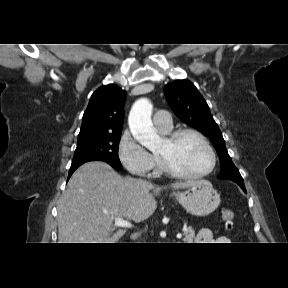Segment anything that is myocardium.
I'll list each match as a JSON object with an SVG mask.
<instances>
[{"label": "myocardium", "mask_w": 288, "mask_h": 288, "mask_svg": "<svg viewBox=\"0 0 288 288\" xmlns=\"http://www.w3.org/2000/svg\"><path fill=\"white\" fill-rule=\"evenodd\" d=\"M185 135L195 136L206 147V149L208 150V152L210 154V158H211V164H210L209 168L206 171H203V172L197 173V174L184 173V172L180 171L179 169H177L168 159L158 155L159 163H160L162 170L166 174L173 176V177H176V178H180V179H200V178H204V177L210 175L216 167L217 156H216V153H215L213 146L211 145L209 140L205 137V135H203L201 132H199L196 129L182 128V129H177V130H174V131L168 133L166 136V140L168 142H170L171 144H173Z\"/></svg>", "instance_id": "f54148a6"}]
</instances>
